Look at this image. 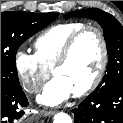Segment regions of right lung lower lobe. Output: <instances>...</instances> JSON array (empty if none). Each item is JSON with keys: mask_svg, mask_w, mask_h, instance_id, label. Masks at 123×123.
<instances>
[{"mask_svg": "<svg viewBox=\"0 0 123 123\" xmlns=\"http://www.w3.org/2000/svg\"><path fill=\"white\" fill-rule=\"evenodd\" d=\"M28 105V100L18 88L1 87V123H21L24 111L22 108Z\"/></svg>", "mask_w": 123, "mask_h": 123, "instance_id": "1", "label": "right lung lower lobe"}]
</instances>
